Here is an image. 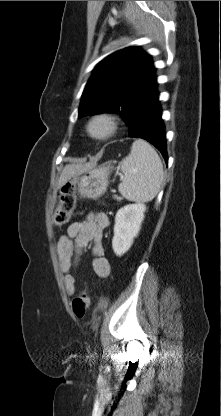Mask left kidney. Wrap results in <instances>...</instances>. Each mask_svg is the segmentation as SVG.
I'll list each match as a JSON object with an SVG mask.
<instances>
[{"label":"left kidney","instance_id":"obj_1","mask_svg":"<svg viewBox=\"0 0 221 416\" xmlns=\"http://www.w3.org/2000/svg\"><path fill=\"white\" fill-rule=\"evenodd\" d=\"M145 211L146 206L137 203L125 205L116 213L112 248L117 256H122L130 249L141 229Z\"/></svg>","mask_w":221,"mask_h":416}]
</instances>
